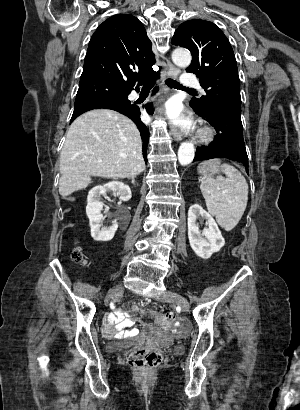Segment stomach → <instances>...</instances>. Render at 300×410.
<instances>
[{
    "label": "stomach",
    "mask_w": 300,
    "mask_h": 410,
    "mask_svg": "<svg viewBox=\"0 0 300 410\" xmlns=\"http://www.w3.org/2000/svg\"><path fill=\"white\" fill-rule=\"evenodd\" d=\"M220 171V161L212 160L206 163H202L198 167V172L206 176H212Z\"/></svg>",
    "instance_id": "stomach-1"
}]
</instances>
